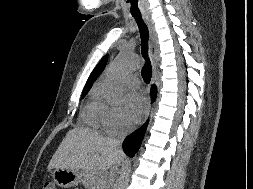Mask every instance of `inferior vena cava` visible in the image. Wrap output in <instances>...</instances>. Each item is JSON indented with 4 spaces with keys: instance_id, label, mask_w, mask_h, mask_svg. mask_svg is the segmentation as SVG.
<instances>
[{
    "instance_id": "obj_1",
    "label": "inferior vena cava",
    "mask_w": 253,
    "mask_h": 189,
    "mask_svg": "<svg viewBox=\"0 0 253 189\" xmlns=\"http://www.w3.org/2000/svg\"><path fill=\"white\" fill-rule=\"evenodd\" d=\"M123 138H124V134L123 133H119L116 137L110 139V144H111L112 148L121 157L124 156V154H125L124 151L121 150ZM119 165H117V166H115L114 168L111 169V171L109 173V176L102 182L104 185H109L110 188L113 186V182H114V180L116 178V175H117V172H118V166Z\"/></svg>"
}]
</instances>
